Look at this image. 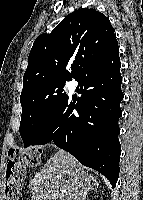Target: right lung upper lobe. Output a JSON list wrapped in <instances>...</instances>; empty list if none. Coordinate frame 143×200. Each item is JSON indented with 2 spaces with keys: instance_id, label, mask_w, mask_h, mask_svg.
I'll return each mask as SVG.
<instances>
[{
  "instance_id": "obj_1",
  "label": "right lung upper lobe",
  "mask_w": 143,
  "mask_h": 200,
  "mask_svg": "<svg viewBox=\"0 0 143 200\" xmlns=\"http://www.w3.org/2000/svg\"><path fill=\"white\" fill-rule=\"evenodd\" d=\"M114 31L109 19L95 9L70 13L51 33L34 41L22 91L48 81L74 79L118 47Z\"/></svg>"
}]
</instances>
